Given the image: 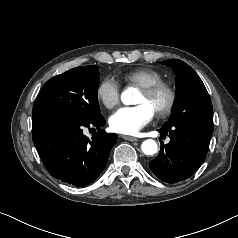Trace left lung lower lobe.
<instances>
[{
	"mask_svg": "<svg viewBox=\"0 0 238 238\" xmlns=\"http://www.w3.org/2000/svg\"><path fill=\"white\" fill-rule=\"evenodd\" d=\"M161 136L170 142L161 145L158 156L150 161V169L162 181L176 183L194 174L207 155L213 130L176 124L162 127Z\"/></svg>",
	"mask_w": 238,
	"mask_h": 238,
	"instance_id": "0a47b994",
	"label": "left lung lower lobe"
}]
</instances>
